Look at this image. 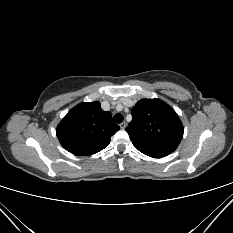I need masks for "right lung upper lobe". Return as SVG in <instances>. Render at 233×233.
<instances>
[{
    "label": "right lung upper lobe",
    "mask_w": 233,
    "mask_h": 233,
    "mask_svg": "<svg viewBox=\"0 0 233 233\" xmlns=\"http://www.w3.org/2000/svg\"><path fill=\"white\" fill-rule=\"evenodd\" d=\"M120 127L100 103L83 102L72 108L57 126L61 145L74 155H92L106 148Z\"/></svg>",
    "instance_id": "1"
}]
</instances>
